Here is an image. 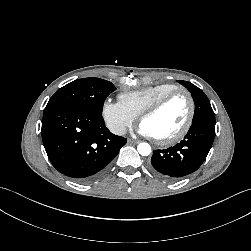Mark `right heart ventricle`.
<instances>
[{"mask_svg": "<svg viewBox=\"0 0 251 251\" xmlns=\"http://www.w3.org/2000/svg\"><path fill=\"white\" fill-rule=\"evenodd\" d=\"M177 88L169 83L157 84L142 90L121 93L119 102L136 118L160 97Z\"/></svg>", "mask_w": 251, "mask_h": 251, "instance_id": "obj_1", "label": "right heart ventricle"}]
</instances>
